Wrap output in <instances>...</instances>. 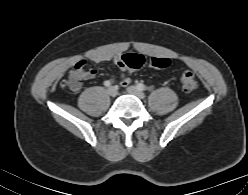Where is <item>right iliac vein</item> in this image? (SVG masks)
<instances>
[{
  "instance_id": "obj_1",
  "label": "right iliac vein",
  "mask_w": 248,
  "mask_h": 195,
  "mask_svg": "<svg viewBox=\"0 0 248 195\" xmlns=\"http://www.w3.org/2000/svg\"><path fill=\"white\" fill-rule=\"evenodd\" d=\"M107 93L112 96V97H115L118 92H117V89L113 86H110L108 89H107Z\"/></svg>"
}]
</instances>
